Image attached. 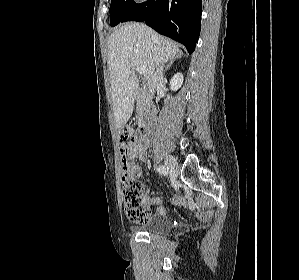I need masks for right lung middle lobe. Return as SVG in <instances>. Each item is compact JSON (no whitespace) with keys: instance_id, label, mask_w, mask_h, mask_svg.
<instances>
[{"instance_id":"1","label":"right lung middle lobe","mask_w":299,"mask_h":280,"mask_svg":"<svg viewBox=\"0 0 299 280\" xmlns=\"http://www.w3.org/2000/svg\"><path fill=\"white\" fill-rule=\"evenodd\" d=\"M133 0H111L110 5V25L116 26L124 21L126 16L135 8Z\"/></svg>"}]
</instances>
